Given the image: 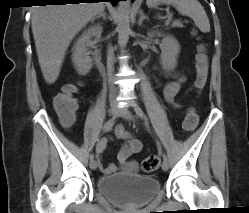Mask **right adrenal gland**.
Returning a JSON list of instances; mask_svg holds the SVG:
<instances>
[{
    "label": "right adrenal gland",
    "instance_id": "right-adrenal-gland-1",
    "mask_svg": "<svg viewBox=\"0 0 249 213\" xmlns=\"http://www.w3.org/2000/svg\"><path fill=\"white\" fill-rule=\"evenodd\" d=\"M100 17H103V19H106V12L103 10L101 13H99L95 18L92 19V22L95 20V19H98Z\"/></svg>",
    "mask_w": 249,
    "mask_h": 213
}]
</instances>
